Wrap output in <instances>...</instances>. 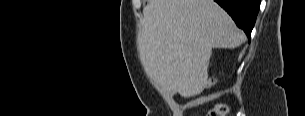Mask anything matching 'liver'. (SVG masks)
<instances>
[{
  "instance_id": "liver-1",
  "label": "liver",
  "mask_w": 305,
  "mask_h": 116,
  "mask_svg": "<svg viewBox=\"0 0 305 116\" xmlns=\"http://www.w3.org/2000/svg\"><path fill=\"white\" fill-rule=\"evenodd\" d=\"M244 41L245 35L213 0H149L137 38L146 74L184 98L205 88L212 48L233 49Z\"/></svg>"
}]
</instances>
